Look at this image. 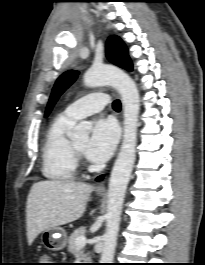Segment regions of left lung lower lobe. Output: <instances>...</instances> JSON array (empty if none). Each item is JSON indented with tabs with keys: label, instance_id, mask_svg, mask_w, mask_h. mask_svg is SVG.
I'll use <instances>...</instances> for the list:
<instances>
[{
	"label": "left lung lower lobe",
	"instance_id": "obj_1",
	"mask_svg": "<svg viewBox=\"0 0 205 265\" xmlns=\"http://www.w3.org/2000/svg\"><path fill=\"white\" fill-rule=\"evenodd\" d=\"M103 178V176H99L96 180H101Z\"/></svg>",
	"mask_w": 205,
	"mask_h": 265
}]
</instances>
